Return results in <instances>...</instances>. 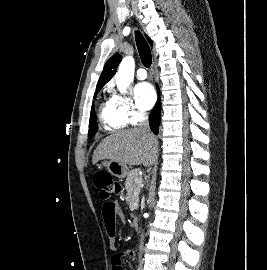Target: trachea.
<instances>
[{
    "label": "trachea",
    "mask_w": 267,
    "mask_h": 270,
    "mask_svg": "<svg viewBox=\"0 0 267 270\" xmlns=\"http://www.w3.org/2000/svg\"><path fill=\"white\" fill-rule=\"evenodd\" d=\"M135 38L141 61L145 67L149 68L152 63V56L149 45L139 32L135 33Z\"/></svg>",
    "instance_id": "trachea-1"
}]
</instances>
